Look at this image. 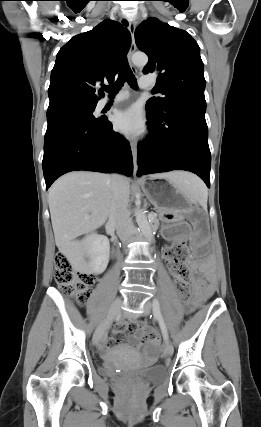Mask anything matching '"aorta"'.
Here are the masks:
<instances>
[{"instance_id":"aorta-1","label":"aorta","mask_w":261,"mask_h":427,"mask_svg":"<svg viewBox=\"0 0 261 427\" xmlns=\"http://www.w3.org/2000/svg\"><path fill=\"white\" fill-rule=\"evenodd\" d=\"M132 62L135 66L143 68L148 63V57L144 53H136L132 56ZM136 222L143 235L149 240H152V225L148 221L147 216L141 210L136 212Z\"/></svg>"}]
</instances>
